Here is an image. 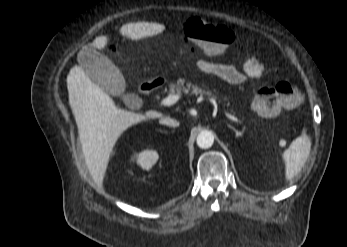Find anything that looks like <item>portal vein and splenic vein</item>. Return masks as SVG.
Instances as JSON below:
<instances>
[{"mask_svg": "<svg viewBox=\"0 0 347 247\" xmlns=\"http://www.w3.org/2000/svg\"><path fill=\"white\" fill-rule=\"evenodd\" d=\"M179 99H180V95H178V94L169 95L161 101V104L164 106H171V105H174L175 103H177L179 101ZM225 115L228 118L231 117V115L229 113H225Z\"/></svg>", "mask_w": 347, "mask_h": 247, "instance_id": "obj_1", "label": "portal vein and splenic vein"}]
</instances>
